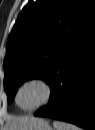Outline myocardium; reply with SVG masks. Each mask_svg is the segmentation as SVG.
<instances>
[{
  "instance_id": "myocardium-1",
  "label": "myocardium",
  "mask_w": 95,
  "mask_h": 130,
  "mask_svg": "<svg viewBox=\"0 0 95 130\" xmlns=\"http://www.w3.org/2000/svg\"><path fill=\"white\" fill-rule=\"evenodd\" d=\"M32 83L39 84L44 88V91H45L44 99L35 107L29 108V109L22 108L18 103L19 93L23 87H25L28 84H32ZM52 94H53V88L48 80H46L43 77H31V78L26 79L19 85V87L17 88V90L15 92L14 100H15V104L17 105V107L19 109H21L22 111L33 112V111H36L39 108L43 107L44 105H46L50 101Z\"/></svg>"
}]
</instances>
